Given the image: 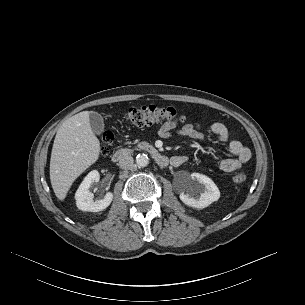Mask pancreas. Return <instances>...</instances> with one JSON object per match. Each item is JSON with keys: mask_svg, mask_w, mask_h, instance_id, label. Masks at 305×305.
<instances>
[{"mask_svg": "<svg viewBox=\"0 0 305 305\" xmlns=\"http://www.w3.org/2000/svg\"><path fill=\"white\" fill-rule=\"evenodd\" d=\"M137 147L141 148V149H147L150 148L151 146L147 143V142H140Z\"/></svg>", "mask_w": 305, "mask_h": 305, "instance_id": "obj_1", "label": "pancreas"}]
</instances>
